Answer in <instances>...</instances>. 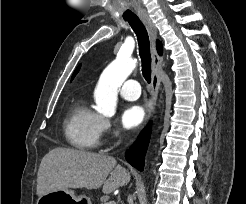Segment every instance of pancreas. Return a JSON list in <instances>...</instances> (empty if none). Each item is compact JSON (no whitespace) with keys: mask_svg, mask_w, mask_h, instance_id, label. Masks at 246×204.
I'll list each match as a JSON object with an SVG mask.
<instances>
[{"mask_svg":"<svg viewBox=\"0 0 246 204\" xmlns=\"http://www.w3.org/2000/svg\"><path fill=\"white\" fill-rule=\"evenodd\" d=\"M102 204H108V202L104 201V203H102Z\"/></svg>","mask_w":246,"mask_h":204,"instance_id":"obj_1","label":"pancreas"}]
</instances>
